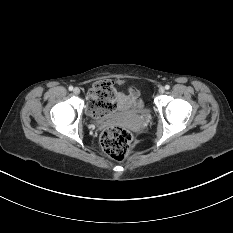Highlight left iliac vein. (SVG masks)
<instances>
[{"mask_svg":"<svg viewBox=\"0 0 233 233\" xmlns=\"http://www.w3.org/2000/svg\"><path fill=\"white\" fill-rule=\"evenodd\" d=\"M164 92H165L164 87H162V86H161V87H159V93H160V94H163Z\"/></svg>","mask_w":233,"mask_h":233,"instance_id":"4c4485c4","label":"left iliac vein"}]
</instances>
